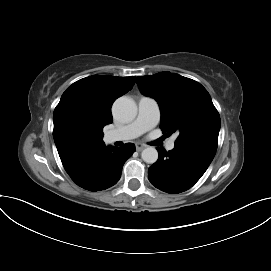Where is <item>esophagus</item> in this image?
<instances>
[{
  "label": "esophagus",
  "mask_w": 271,
  "mask_h": 271,
  "mask_svg": "<svg viewBox=\"0 0 271 271\" xmlns=\"http://www.w3.org/2000/svg\"><path fill=\"white\" fill-rule=\"evenodd\" d=\"M144 148H146V145H145V144H141V143H137V144H136V150H137V151H141V150H143Z\"/></svg>",
  "instance_id": "esophagus-1"
}]
</instances>
